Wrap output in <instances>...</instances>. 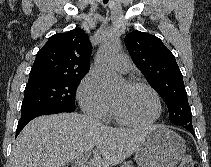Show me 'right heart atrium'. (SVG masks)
I'll use <instances>...</instances> for the list:
<instances>
[{"label":"right heart atrium","mask_w":211,"mask_h":167,"mask_svg":"<svg viewBox=\"0 0 211 167\" xmlns=\"http://www.w3.org/2000/svg\"><path fill=\"white\" fill-rule=\"evenodd\" d=\"M77 96L80 106L86 114L103 121L109 119L112 111L111 102L95 75L88 74L82 79Z\"/></svg>","instance_id":"right-heart-atrium-1"}]
</instances>
